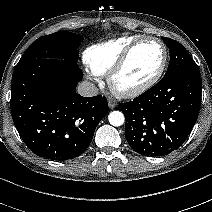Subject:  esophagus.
Here are the masks:
<instances>
[{"label":"esophagus","instance_id":"34e87169","mask_svg":"<svg viewBox=\"0 0 212 212\" xmlns=\"http://www.w3.org/2000/svg\"><path fill=\"white\" fill-rule=\"evenodd\" d=\"M108 105L110 109H114L116 107V102L112 99L108 101Z\"/></svg>","mask_w":212,"mask_h":212}]
</instances>
